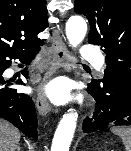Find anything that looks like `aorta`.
Instances as JSON below:
<instances>
[{
    "label": "aorta",
    "instance_id": "obj_1",
    "mask_svg": "<svg viewBox=\"0 0 131 151\" xmlns=\"http://www.w3.org/2000/svg\"><path fill=\"white\" fill-rule=\"evenodd\" d=\"M87 32L85 20L79 16L69 18L66 23V36L72 47L79 45ZM78 114L72 109L65 113L60 120L54 138L51 151H69L70 144L76 129Z\"/></svg>",
    "mask_w": 131,
    "mask_h": 151
}]
</instances>
